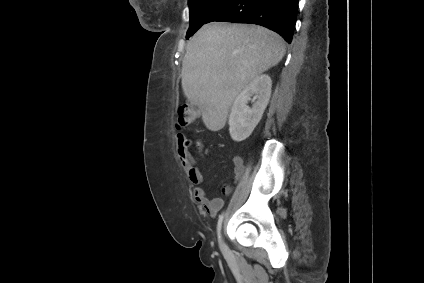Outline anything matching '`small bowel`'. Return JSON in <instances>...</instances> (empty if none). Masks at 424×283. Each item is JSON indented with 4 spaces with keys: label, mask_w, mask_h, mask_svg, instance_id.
<instances>
[{
    "label": "small bowel",
    "mask_w": 424,
    "mask_h": 283,
    "mask_svg": "<svg viewBox=\"0 0 424 283\" xmlns=\"http://www.w3.org/2000/svg\"><path fill=\"white\" fill-rule=\"evenodd\" d=\"M177 141V152L181 164L183 165L188 177L195 185L193 188V195L195 201L211 216H215L217 212L223 207L224 201L221 198L209 199L207 192L200 185L203 183V175L200 169L189 156V152L186 146V138L182 134L176 136ZM234 164V179L239 180L244 172L243 158L241 156H235L233 158ZM231 185L227 184L223 187V194L228 195L231 192Z\"/></svg>",
    "instance_id": "small-bowel-1"
}]
</instances>
